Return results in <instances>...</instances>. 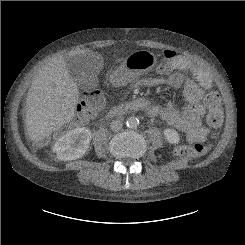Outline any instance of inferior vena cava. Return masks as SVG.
<instances>
[{
    "instance_id": "602c4592",
    "label": "inferior vena cava",
    "mask_w": 245,
    "mask_h": 245,
    "mask_svg": "<svg viewBox=\"0 0 245 245\" xmlns=\"http://www.w3.org/2000/svg\"><path fill=\"white\" fill-rule=\"evenodd\" d=\"M110 128L112 131L118 132L122 128V122L120 120H114L111 122Z\"/></svg>"
}]
</instances>
